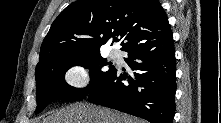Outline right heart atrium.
Instances as JSON below:
<instances>
[{"instance_id":"d8ad5b80","label":"right heart atrium","mask_w":221,"mask_h":123,"mask_svg":"<svg viewBox=\"0 0 221 123\" xmlns=\"http://www.w3.org/2000/svg\"><path fill=\"white\" fill-rule=\"evenodd\" d=\"M64 82L72 88L81 89L88 85L89 70L81 64L71 65L64 73Z\"/></svg>"}]
</instances>
